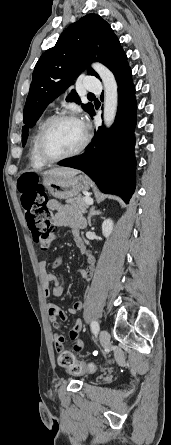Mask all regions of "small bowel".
I'll return each mask as SVG.
<instances>
[{
    "mask_svg": "<svg viewBox=\"0 0 171 445\" xmlns=\"http://www.w3.org/2000/svg\"><path fill=\"white\" fill-rule=\"evenodd\" d=\"M48 207L51 210L56 211L53 221L54 225L57 227H70L74 239L81 249L82 254L85 256L87 260V266L81 268L79 273L83 280H90L91 274L95 264V257L93 254L85 247L82 237L80 235L81 230L85 227L86 221L84 217L78 213H74L70 210H67L62 206L60 202L57 200L48 201ZM61 263L60 257H57L52 264V268H57ZM40 281L43 287V293L46 297L53 295L54 297H61L65 292V284L59 278V276L53 272L48 271L47 264L45 261H41L38 265ZM83 307V303L81 300L75 301L72 306L69 308L70 314H76ZM47 314L49 320L51 321L54 328L60 327V322L65 321L67 319V315L55 304L48 303L46 305ZM82 329V321L77 319L73 325V327L69 330V337L72 339L74 343V350L79 351L83 348V341L80 339V332ZM54 344L55 347L61 348L64 344V336L60 334H54Z\"/></svg>",
    "mask_w": 171,
    "mask_h": 445,
    "instance_id": "obj_1",
    "label": "small bowel"
}]
</instances>
